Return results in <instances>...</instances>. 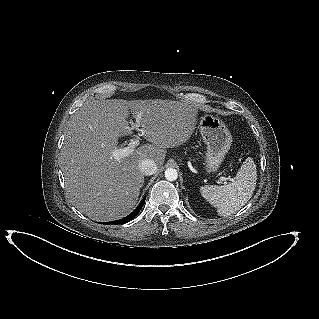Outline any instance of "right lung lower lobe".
Masks as SVG:
<instances>
[{"instance_id": "1", "label": "right lung lower lobe", "mask_w": 319, "mask_h": 319, "mask_svg": "<svg viewBox=\"0 0 319 319\" xmlns=\"http://www.w3.org/2000/svg\"><path fill=\"white\" fill-rule=\"evenodd\" d=\"M145 199H146V197H144V198L142 199V201H141L140 204L137 206V208H136L131 214H129L127 217L122 218V219H120V220H116V221L110 222V224H115V225H116V224H123V223L128 222L129 220L133 219V218L139 213V211L141 210V208L143 207L144 202H145Z\"/></svg>"}]
</instances>
